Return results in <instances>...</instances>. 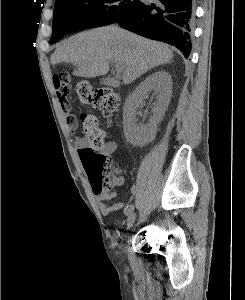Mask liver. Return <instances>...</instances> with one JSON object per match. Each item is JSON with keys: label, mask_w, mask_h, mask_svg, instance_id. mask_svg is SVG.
<instances>
[{"label": "liver", "mask_w": 245, "mask_h": 300, "mask_svg": "<svg viewBox=\"0 0 245 300\" xmlns=\"http://www.w3.org/2000/svg\"><path fill=\"white\" fill-rule=\"evenodd\" d=\"M172 58L173 52L163 43L116 26H106L63 41L50 60L53 65L73 63L76 66L73 75L85 78L106 75L111 63L120 68L126 85Z\"/></svg>", "instance_id": "liver-1"}]
</instances>
